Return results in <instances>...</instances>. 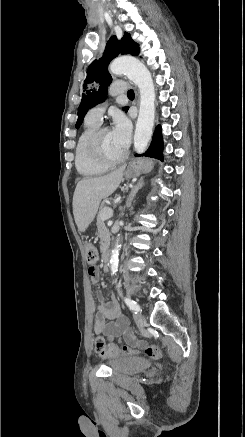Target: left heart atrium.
<instances>
[{
    "label": "left heart atrium",
    "instance_id": "39dd6f15",
    "mask_svg": "<svg viewBox=\"0 0 245 437\" xmlns=\"http://www.w3.org/2000/svg\"><path fill=\"white\" fill-rule=\"evenodd\" d=\"M111 132L117 144L126 151L131 138V125L128 119L122 114L115 115Z\"/></svg>",
    "mask_w": 245,
    "mask_h": 437
}]
</instances>
